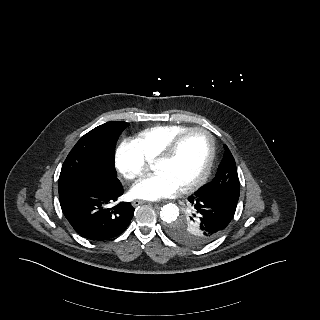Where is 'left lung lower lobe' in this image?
<instances>
[{"instance_id":"left-lung-lower-lobe-1","label":"left lung lower lobe","mask_w":320,"mask_h":320,"mask_svg":"<svg viewBox=\"0 0 320 320\" xmlns=\"http://www.w3.org/2000/svg\"><path fill=\"white\" fill-rule=\"evenodd\" d=\"M199 213L203 233L213 241L224 233L236 211L237 202L220 195H213L200 189L189 199Z\"/></svg>"}]
</instances>
